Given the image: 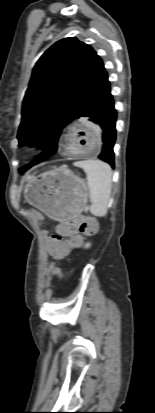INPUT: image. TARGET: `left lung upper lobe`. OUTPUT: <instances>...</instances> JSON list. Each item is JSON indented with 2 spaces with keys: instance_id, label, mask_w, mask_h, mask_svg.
<instances>
[{
  "instance_id": "obj_1",
  "label": "left lung upper lobe",
  "mask_w": 155,
  "mask_h": 413,
  "mask_svg": "<svg viewBox=\"0 0 155 413\" xmlns=\"http://www.w3.org/2000/svg\"><path fill=\"white\" fill-rule=\"evenodd\" d=\"M104 69L92 47L75 37L56 42L40 57L23 100L17 138L19 146L35 141L43 152L20 173L57 151L62 129L79 118Z\"/></svg>"
}]
</instances>
